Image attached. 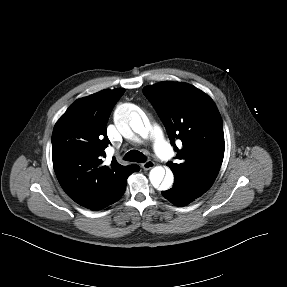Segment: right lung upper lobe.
<instances>
[{
  "label": "right lung upper lobe",
  "mask_w": 287,
  "mask_h": 287,
  "mask_svg": "<svg viewBox=\"0 0 287 287\" xmlns=\"http://www.w3.org/2000/svg\"><path fill=\"white\" fill-rule=\"evenodd\" d=\"M124 89L102 90L72 103L57 121L52 134V160L58 181L67 195L93 211L113 204L126 188L138 165L122 166L113 157L103 164L110 143L106 124Z\"/></svg>",
  "instance_id": "1"
}]
</instances>
